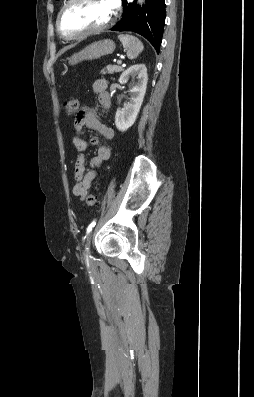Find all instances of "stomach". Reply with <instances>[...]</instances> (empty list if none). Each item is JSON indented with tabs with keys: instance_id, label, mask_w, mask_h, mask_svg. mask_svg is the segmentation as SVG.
I'll return each mask as SVG.
<instances>
[{
	"instance_id": "stomach-1",
	"label": "stomach",
	"mask_w": 254,
	"mask_h": 397,
	"mask_svg": "<svg viewBox=\"0 0 254 397\" xmlns=\"http://www.w3.org/2000/svg\"><path fill=\"white\" fill-rule=\"evenodd\" d=\"M115 50V43L110 39L96 41L82 49L80 52L73 54L68 58L70 65H75L84 60L98 59L104 55L111 54Z\"/></svg>"
}]
</instances>
